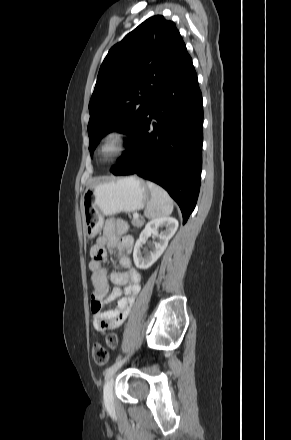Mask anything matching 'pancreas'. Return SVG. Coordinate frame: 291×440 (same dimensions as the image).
<instances>
[{"label": "pancreas", "mask_w": 291, "mask_h": 440, "mask_svg": "<svg viewBox=\"0 0 291 440\" xmlns=\"http://www.w3.org/2000/svg\"><path fill=\"white\" fill-rule=\"evenodd\" d=\"M132 224L135 227L140 228V227H142L144 225V220L143 219H136V218L133 217Z\"/></svg>", "instance_id": "1"}]
</instances>
